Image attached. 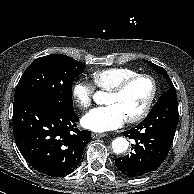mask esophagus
Here are the masks:
<instances>
[{
	"instance_id": "1",
	"label": "esophagus",
	"mask_w": 194,
	"mask_h": 194,
	"mask_svg": "<svg viewBox=\"0 0 194 194\" xmlns=\"http://www.w3.org/2000/svg\"><path fill=\"white\" fill-rule=\"evenodd\" d=\"M106 136V134L105 133H92V138L93 139H96V138H103V137H105Z\"/></svg>"
}]
</instances>
